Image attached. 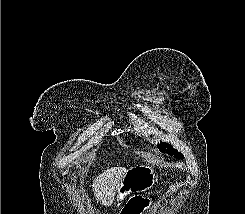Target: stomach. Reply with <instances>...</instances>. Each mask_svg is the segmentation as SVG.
<instances>
[{
	"mask_svg": "<svg viewBox=\"0 0 245 214\" xmlns=\"http://www.w3.org/2000/svg\"><path fill=\"white\" fill-rule=\"evenodd\" d=\"M157 182L153 169L146 165H136L127 170L117 191V202H122L132 192H145Z\"/></svg>",
	"mask_w": 245,
	"mask_h": 214,
	"instance_id": "stomach-1",
	"label": "stomach"
}]
</instances>
